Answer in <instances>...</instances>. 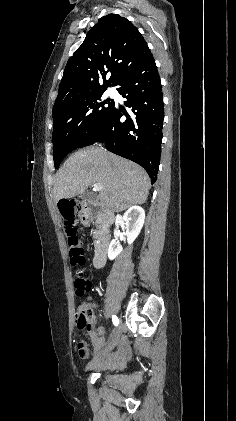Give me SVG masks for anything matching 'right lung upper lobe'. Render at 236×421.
Listing matches in <instances>:
<instances>
[{
  "label": "right lung upper lobe",
  "instance_id": "right-lung-upper-lobe-1",
  "mask_svg": "<svg viewBox=\"0 0 236 421\" xmlns=\"http://www.w3.org/2000/svg\"><path fill=\"white\" fill-rule=\"evenodd\" d=\"M150 55L146 41L129 20L117 14L100 18L68 60L53 110L72 99L114 86L128 69Z\"/></svg>",
  "mask_w": 236,
  "mask_h": 421
}]
</instances>
